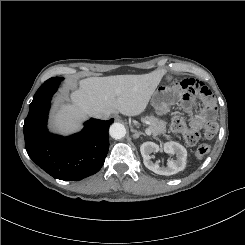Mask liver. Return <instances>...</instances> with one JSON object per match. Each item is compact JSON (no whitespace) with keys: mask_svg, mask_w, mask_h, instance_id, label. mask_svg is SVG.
Listing matches in <instances>:
<instances>
[{"mask_svg":"<svg viewBox=\"0 0 245 245\" xmlns=\"http://www.w3.org/2000/svg\"><path fill=\"white\" fill-rule=\"evenodd\" d=\"M165 70L142 75L90 77L79 81L71 93L72 104H60L53 125L62 133L78 130L87 116L121 113L137 116L144 112Z\"/></svg>","mask_w":245,"mask_h":245,"instance_id":"obj_1","label":"liver"}]
</instances>
